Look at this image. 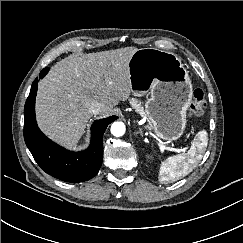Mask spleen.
I'll use <instances>...</instances> for the list:
<instances>
[{"instance_id":"1","label":"spleen","mask_w":243,"mask_h":243,"mask_svg":"<svg viewBox=\"0 0 243 243\" xmlns=\"http://www.w3.org/2000/svg\"><path fill=\"white\" fill-rule=\"evenodd\" d=\"M207 144V132L205 130L199 131L187 153L171 156L161 163L159 181H176L189 174L202 159Z\"/></svg>"}]
</instances>
